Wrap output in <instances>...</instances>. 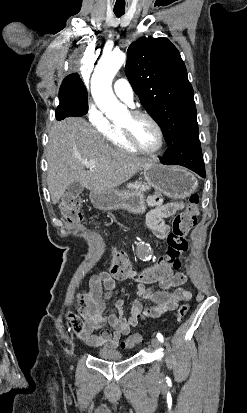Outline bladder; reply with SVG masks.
<instances>
[{
    "instance_id": "obj_1",
    "label": "bladder",
    "mask_w": 247,
    "mask_h": 413,
    "mask_svg": "<svg viewBox=\"0 0 247 413\" xmlns=\"http://www.w3.org/2000/svg\"><path fill=\"white\" fill-rule=\"evenodd\" d=\"M97 358L110 359V360L125 359L124 353L119 352L115 348L99 349V351L97 352Z\"/></svg>"
}]
</instances>
